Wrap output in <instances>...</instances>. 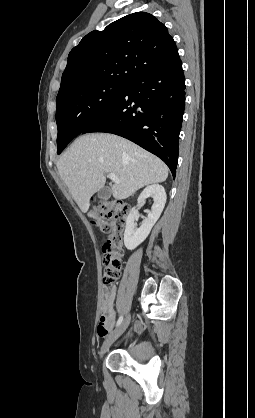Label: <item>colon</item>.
Listing matches in <instances>:
<instances>
[{
    "label": "colon",
    "instance_id": "1",
    "mask_svg": "<svg viewBox=\"0 0 255 418\" xmlns=\"http://www.w3.org/2000/svg\"><path fill=\"white\" fill-rule=\"evenodd\" d=\"M129 204L124 200L100 202L93 214V223L106 236L103 246V282L111 285L120 276L124 256L123 233ZM106 316L101 314L98 328L105 329Z\"/></svg>",
    "mask_w": 255,
    "mask_h": 418
}]
</instances>
